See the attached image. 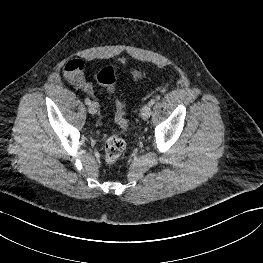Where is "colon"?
Instances as JSON below:
<instances>
[{
	"instance_id": "5ec220e1",
	"label": "colon",
	"mask_w": 263,
	"mask_h": 263,
	"mask_svg": "<svg viewBox=\"0 0 263 263\" xmlns=\"http://www.w3.org/2000/svg\"><path fill=\"white\" fill-rule=\"evenodd\" d=\"M134 79H141L144 74L140 69H133ZM97 81L104 86L108 92L115 93L117 76L110 66L104 67L97 75ZM115 122L120 129V133L109 137L105 142V160L109 164L115 163L126 150V141L122 133L126 130L128 122L126 119L124 103L117 99L115 110Z\"/></svg>"
}]
</instances>
